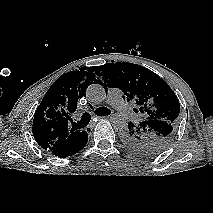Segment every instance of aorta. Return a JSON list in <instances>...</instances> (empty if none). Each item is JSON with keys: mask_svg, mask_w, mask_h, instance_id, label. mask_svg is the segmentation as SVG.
<instances>
[{"mask_svg": "<svg viewBox=\"0 0 213 213\" xmlns=\"http://www.w3.org/2000/svg\"><path fill=\"white\" fill-rule=\"evenodd\" d=\"M88 98L94 103H100L105 99V89L99 84H92L87 89ZM113 125L118 129L126 127V120L121 115H114L112 117Z\"/></svg>", "mask_w": 213, "mask_h": 213, "instance_id": "obj_1", "label": "aorta"}]
</instances>
